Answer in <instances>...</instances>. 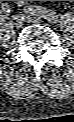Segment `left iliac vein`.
<instances>
[{
	"label": "left iliac vein",
	"instance_id": "4c4485c4",
	"mask_svg": "<svg viewBox=\"0 0 74 122\" xmlns=\"http://www.w3.org/2000/svg\"><path fill=\"white\" fill-rule=\"evenodd\" d=\"M20 17L23 20H27L28 22H32V23H42L43 22L42 18L39 16H33V15H29V14H21Z\"/></svg>",
	"mask_w": 74,
	"mask_h": 122
}]
</instances>
